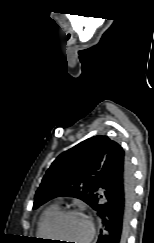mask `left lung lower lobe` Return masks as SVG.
<instances>
[{
    "instance_id": "0a47b994",
    "label": "left lung lower lobe",
    "mask_w": 154,
    "mask_h": 243,
    "mask_svg": "<svg viewBox=\"0 0 154 243\" xmlns=\"http://www.w3.org/2000/svg\"><path fill=\"white\" fill-rule=\"evenodd\" d=\"M93 209L101 218L97 243H126L134 199V178L121 147L111 149L99 172Z\"/></svg>"
}]
</instances>
